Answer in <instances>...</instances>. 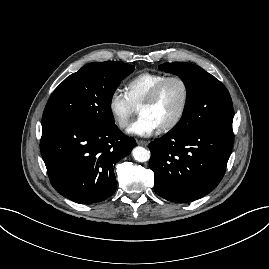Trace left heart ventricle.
Listing matches in <instances>:
<instances>
[{"instance_id":"1","label":"left heart ventricle","mask_w":269,"mask_h":269,"mask_svg":"<svg viewBox=\"0 0 269 269\" xmlns=\"http://www.w3.org/2000/svg\"><path fill=\"white\" fill-rule=\"evenodd\" d=\"M183 99L182 85L177 81H172L163 88L153 104L139 108V113L149 116L159 127H162L176 117L181 109Z\"/></svg>"}]
</instances>
